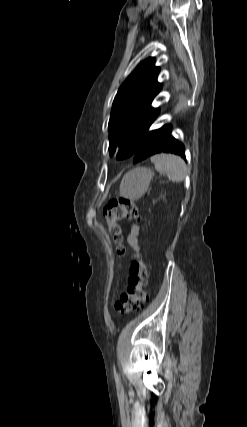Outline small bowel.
Segmentation results:
<instances>
[{
  "instance_id": "1",
  "label": "small bowel",
  "mask_w": 247,
  "mask_h": 427,
  "mask_svg": "<svg viewBox=\"0 0 247 427\" xmlns=\"http://www.w3.org/2000/svg\"><path fill=\"white\" fill-rule=\"evenodd\" d=\"M138 234H139L138 226L132 225L131 232L128 236V243L134 250L139 249V247H138Z\"/></svg>"
}]
</instances>
